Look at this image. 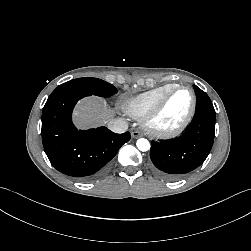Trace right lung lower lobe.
I'll return each instance as SVG.
<instances>
[{
  "instance_id": "right-lung-lower-lobe-1",
  "label": "right lung lower lobe",
  "mask_w": 251,
  "mask_h": 251,
  "mask_svg": "<svg viewBox=\"0 0 251 251\" xmlns=\"http://www.w3.org/2000/svg\"><path fill=\"white\" fill-rule=\"evenodd\" d=\"M87 95L62 93L50 96L42 113V141L51 164L61 173L82 181L96 179L110 160L130 140V133L116 134L106 127L78 130L72 110Z\"/></svg>"
}]
</instances>
